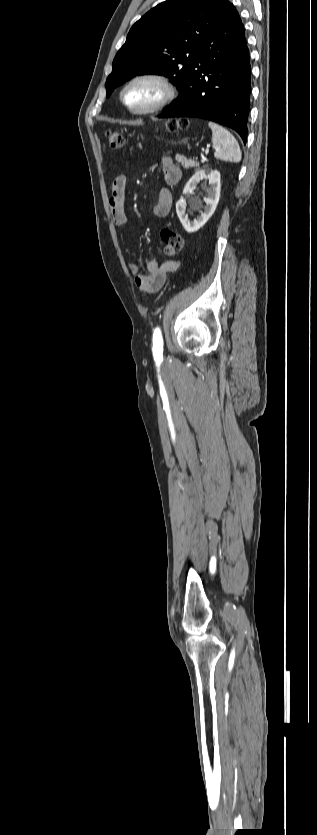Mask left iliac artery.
I'll use <instances>...</instances> for the list:
<instances>
[{
  "instance_id": "44dca946",
  "label": "left iliac artery",
  "mask_w": 317,
  "mask_h": 835,
  "mask_svg": "<svg viewBox=\"0 0 317 835\" xmlns=\"http://www.w3.org/2000/svg\"><path fill=\"white\" fill-rule=\"evenodd\" d=\"M153 355L157 361L163 359V338L161 334V330L159 327H156L153 332Z\"/></svg>"
}]
</instances>
